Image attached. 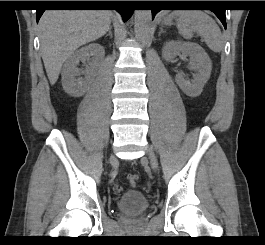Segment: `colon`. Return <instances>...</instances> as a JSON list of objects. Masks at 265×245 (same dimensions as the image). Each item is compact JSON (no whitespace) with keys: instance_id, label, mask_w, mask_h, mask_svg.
<instances>
[{"instance_id":"5ec220e1","label":"colon","mask_w":265,"mask_h":245,"mask_svg":"<svg viewBox=\"0 0 265 245\" xmlns=\"http://www.w3.org/2000/svg\"><path fill=\"white\" fill-rule=\"evenodd\" d=\"M138 178L139 177L136 174H131L128 176V180L131 184H135L137 182Z\"/></svg>"}]
</instances>
